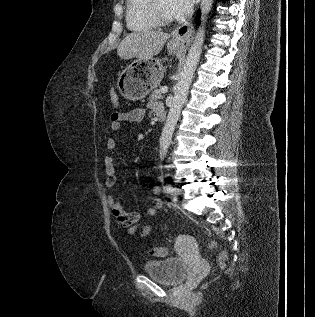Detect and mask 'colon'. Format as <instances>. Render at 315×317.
Segmentation results:
<instances>
[{"mask_svg":"<svg viewBox=\"0 0 315 317\" xmlns=\"http://www.w3.org/2000/svg\"><path fill=\"white\" fill-rule=\"evenodd\" d=\"M111 100L113 102L114 105H118V98H117V95L115 92H112L111 93ZM210 246L214 249H219V254H218V263L220 265H223L224 262L226 261L227 259V251L225 249H222L220 248V246L218 245L217 242L215 241H212L210 243ZM150 253L154 256H157V257H166L169 253V250L167 247L165 246H158V247H154L151 249Z\"/></svg>","mask_w":315,"mask_h":317,"instance_id":"1","label":"colon"}]
</instances>
